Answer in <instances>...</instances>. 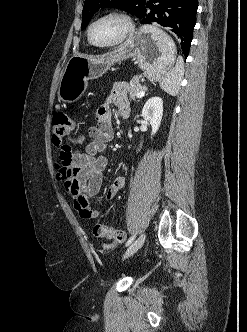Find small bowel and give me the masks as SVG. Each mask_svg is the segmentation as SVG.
Here are the masks:
<instances>
[{"mask_svg": "<svg viewBox=\"0 0 247 332\" xmlns=\"http://www.w3.org/2000/svg\"><path fill=\"white\" fill-rule=\"evenodd\" d=\"M113 107L117 108L120 117H129L131 109L125 84L120 83L113 88L97 109L95 124L88 128L87 134L75 138V148L65 146L59 153L57 177L72 197L80 217L87 220L100 216V211L90 205V199L99 193L102 173L108 165L106 149L113 137ZM124 184L123 176L115 177L106 190L105 198L113 199Z\"/></svg>", "mask_w": 247, "mask_h": 332, "instance_id": "c3829d8e", "label": "small bowel"}]
</instances>
